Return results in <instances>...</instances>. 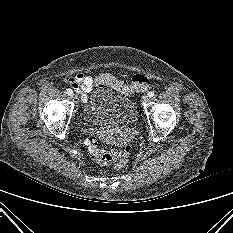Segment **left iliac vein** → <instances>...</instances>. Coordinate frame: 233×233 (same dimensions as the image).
Returning <instances> with one entry per match:
<instances>
[{
  "label": "left iliac vein",
  "mask_w": 233,
  "mask_h": 233,
  "mask_svg": "<svg viewBox=\"0 0 233 233\" xmlns=\"http://www.w3.org/2000/svg\"><path fill=\"white\" fill-rule=\"evenodd\" d=\"M148 101H149L148 95H145V96L142 97V103H146Z\"/></svg>",
  "instance_id": "obj_1"
}]
</instances>
